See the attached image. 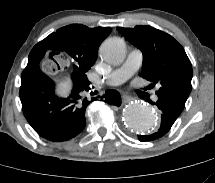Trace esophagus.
<instances>
[{
	"mask_svg": "<svg viewBox=\"0 0 215 183\" xmlns=\"http://www.w3.org/2000/svg\"><path fill=\"white\" fill-rule=\"evenodd\" d=\"M132 100V98L130 97V96H128V95H123L122 96V101H123V103H128V102H130Z\"/></svg>",
	"mask_w": 215,
	"mask_h": 183,
	"instance_id": "34e87169",
	"label": "esophagus"
}]
</instances>
